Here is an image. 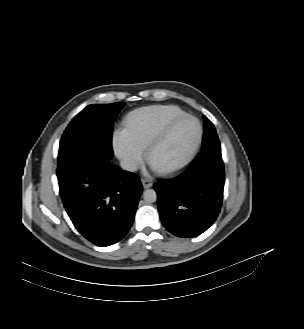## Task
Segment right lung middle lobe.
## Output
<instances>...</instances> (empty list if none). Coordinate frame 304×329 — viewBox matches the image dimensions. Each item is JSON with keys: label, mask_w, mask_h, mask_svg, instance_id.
Wrapping results in <instances>:
<instances>
[{"label": "right lung middle lobe", "mask_w": 304, "mask_h": 329, "mask_svg": "<svg viewBox=\"0 0 304 329\" xmlns=\"http://www.w3.org/2000/svg\"><path fill=\"white\" fill-rule=\"evenodd\" d=\"M124 104H93L76 115L62 135L58 167L82 159H111L112 126Z\"/></svg>", "instance_id": "1"}]
</instances>
